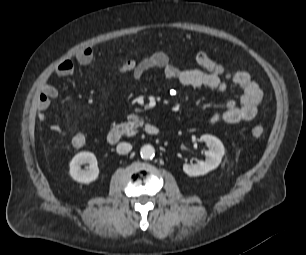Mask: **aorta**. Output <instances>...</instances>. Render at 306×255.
I'll use <instances>...</instances> for the list:
<instances>
[{
  "instance_id": "762f6f07",
  "label": "aorta",
  "mask_w": 306,
  "mask_h": 255,
  "mask_svg": "<svg viewBox=\"0 0 306 255\" xmlns=\"http://www.w3.org/2000/svg\"><path fill=\"white\" fill-rule=\"evenodd\" d=\"M140 154L143 159H152L155 155V149L152 145H144L140 149Z\"/></svg>"
}]
</instances>
